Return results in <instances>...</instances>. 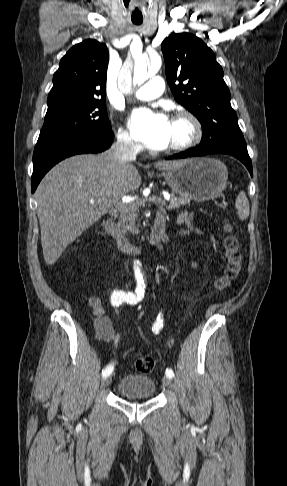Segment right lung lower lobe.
Masks as SVG:
<instances>
[{
	"label": "right lung lower lobe",
	"mask_w": 287,
	"mask_h": 486,
	"mask_svg": "<svg viewBox=\"0 0 287 486\" xmlns=\"http://www.w3.org/2000/svg\"><path fill=\"white\" fill-rule=\"evenodd\" d=\"M112 130L93 139L62 140L36 144L33 154L32 193L36 190L43 176L61 160L83 153H98L108 149L113 140Z\"/></svg>",
	"instance_id": "1"
}]
</instances>
